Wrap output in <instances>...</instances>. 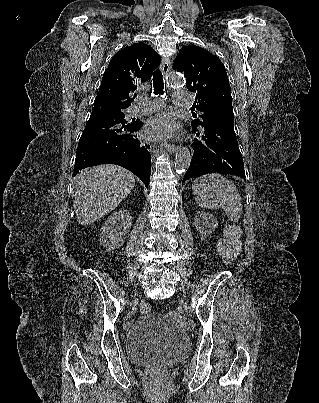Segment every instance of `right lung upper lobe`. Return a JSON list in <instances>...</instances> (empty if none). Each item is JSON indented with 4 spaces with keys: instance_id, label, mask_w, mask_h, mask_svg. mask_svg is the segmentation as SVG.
Returning a JSON list of instances; mask_svg holds the SVG:
<instances>
[{
    "instance_id": "cb5924a9",
    "label": "right lung upper lobe",
    "mask_w": 319,
    "mask_h": 403,
    "mask_svg": "<svg viewBox=\"0 0 319 403\" xmlns=\"http://www.w3.org/2000/svg\"><path fill=\"white\" fill-rule=\"evenodd\" d=\"M160 57L144 43H135L118 51L106 69L94 105L127 108L134 98L130 92L148 81L159 66Z\"/></svg>"
}]
</instances>
